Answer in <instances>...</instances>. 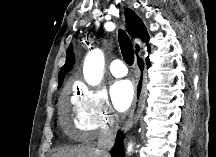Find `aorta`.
<instances>
[{"instance_id":"1","label":"aorta","mask_w":216,"mask_h":157,"mask_svg":"<svg viewBox=\"0 0 216 157\" xmlns=\"http://www.w3.org/2000/svg\"><path fill=\"white\" fill-rule=\"evenodd\" d=\"M104 54L96 48L90 51L84 62V78L89 85L95 86L100 83L103 77ZM132 151V144L128 146V152Z\"/></svg>"}]
</instances>
